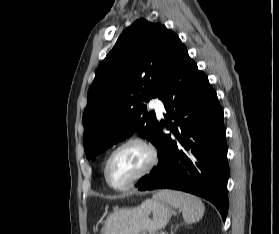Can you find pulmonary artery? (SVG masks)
I'll list each match as a JSON object with an SVG mask.
<instances>
[{"mask_svg": "<svg viewBox=\"0 0 279 234\" xmlns=\"http://www.w3.org/2000/svg\"><path fill=\"white\" fill-rule=\"evenodd\" d=\"M149 106L156 111L158 116H162V114L165 112L164 104L158 98L151 99V101L149 102Z\"/></svg>", "mask_w": 279, "mask_h": 234, "instance_id": "1", "label": "pulmonary artery"}]
</instances>
